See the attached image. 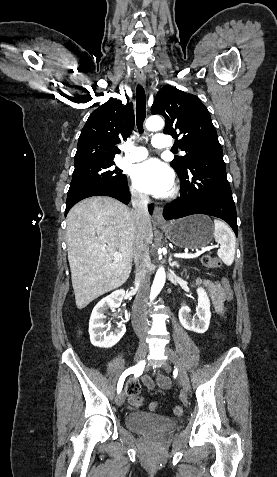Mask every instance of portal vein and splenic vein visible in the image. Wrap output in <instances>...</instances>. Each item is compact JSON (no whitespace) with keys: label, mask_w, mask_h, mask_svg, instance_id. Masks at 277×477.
<instances>
[{"label":"portal vein and splenic vein","mask_w":277,"mask_h":477,"mask_svg":"<svg viewBox=\"0 0 277 477\" xmlns=\"http://www.w3.org/2000/svg\"><path fill=\"white\" fill-rule=\"evenodd\" d=\"M214 247L213 246H208V247H205L203 248L201 251H198L197 253L195 254H188V253H174V257H177V258H196L198 256H200L202 253L206 252V251H210L211 249H213ZM121 257V253L120 252H115L114 253V258L115 259H119Z\"/></svg>","instance_id":"18ae733b"}]
</instances>
